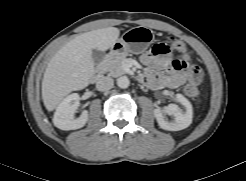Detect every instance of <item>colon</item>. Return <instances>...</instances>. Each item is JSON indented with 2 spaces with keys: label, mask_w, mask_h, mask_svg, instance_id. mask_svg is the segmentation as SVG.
I'll return each mask as SVG.
<instances>
[{
  "label": "colon",
  "mask_w": 246,
  "mask_h": 181,
  "mask_svg": "<svg viewBox=\"0 0 246 181\" xmlns=\"http://www.w3.org/2000/svg\"><path fill=\"white\" fill-rule=\"evenodd\" d=\"M169 49L174 50L176 52L182 53L187 55L188 54V48L186 44L180 40L172 39L169 43V45L165 44H156L152 48V52L154 54H163L167 52ZM202 80V73L199 67L197 66H191L190 67V81L186 84L184 87V92L194 98L198 99L200 97L201 91L199 88V83Z\"/></svg>",
  "instance_id": "1"
}]
</instances>
